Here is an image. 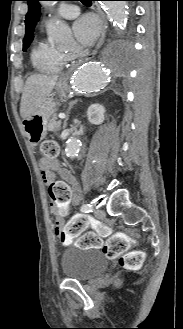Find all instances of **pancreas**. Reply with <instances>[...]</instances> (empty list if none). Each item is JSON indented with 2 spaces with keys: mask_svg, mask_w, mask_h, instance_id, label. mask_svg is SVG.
<instances>
[{
  "mask_svg": "<svg viewBox=\"0 0 183 329\" xmlns=\"http://www.w3.org/2000/svg\"><path fill=\"white\" fill-rule=\"evenodd\" d=\"M48 131L51 132H58L61 130V121H58L57 118L55 116H53L48 123Z\"/></svg>",
  "mask_w": 183,
  "mask_h": 329,
  "instance_id": "cf45deb5",
  "label": "pancreas"
}]
</instances>
